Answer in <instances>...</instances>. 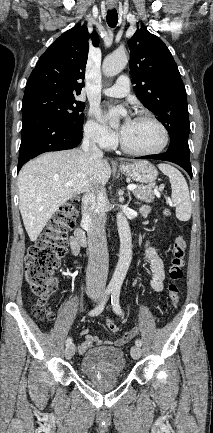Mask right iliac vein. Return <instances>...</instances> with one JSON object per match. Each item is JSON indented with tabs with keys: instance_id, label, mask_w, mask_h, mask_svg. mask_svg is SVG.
Here are the masks:
<instances>
[{
	"instance_id": "right-iliac-vein-1",
	"label": "right iliac vein",
	"mask_w": 213,
	"mask_h": 433,
	"mask_svg": "<svg viewBox=\"0 0 213 433\" xmlns=\"http://www.w3.org/2000/svg\"><path fill=\"white\" fill-rule=\"evenodd\" d=\"M91 298H92L94 301H97V300L99 299V295H97V294H93V295L91 296ZM74 354H75V346H74L73 344L67 346L66 349H65V357H66L67 359H71V358L74 356Z\"/></svg>"
}]
</instances>
